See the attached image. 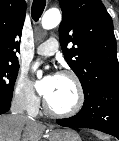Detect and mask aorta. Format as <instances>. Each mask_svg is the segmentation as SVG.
Returning a JSON list of instances; mask_svg holds the SVG:
<instances>
[{
  "mask_svg": "<svg viewBox=\"0 0 119 141\" xmlns=\"http://www.w3.org/2000/svg\"><path fill=\"white\" fill-rule=\"evenodd\" d=\"M60 22H61V14L59 10L50 9L44 13L41 24L44 29H52L57 25H59ZM37 76L40 78L42 76V72L39 71L37 73Z\"/></svg>",
  "mask_w": 119,
  "mask_h": 141,
  "instance_id": "762f6f07",
  "label": "aorta"
}]
</instances>
